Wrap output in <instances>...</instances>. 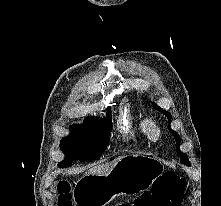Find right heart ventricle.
Returning <instances> with one entry per match:
<instances>
[{"label":"right heart ventricle","instance_id":"1","mask_svg":"<svg viewBox=\"0 0 221 206\" xmlns=\"http://www.w3.org/2000/svg\"><path fill=\"white\" fill-rule=\"evenodd\" d=\"M144 119L136 117L128 106H123L119 115V128L128 138L146 137L143 128Z\"/></svg>","mask_w":221,"mask_h":206}]
</instances>
